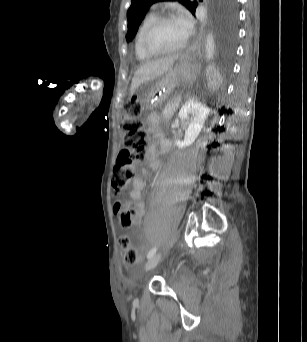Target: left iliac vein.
<instances>
[{"mask_svg": "<svg viewBox=\"0 0 307 342\" xmlns=\"http://www.w3.org/2000/svg\"><path fill=\"white\" fill-rule=\"evenodd\" d=\"M162 258V253L161 252H158L156 254H154L151 258H149V260L147 261L146 265H145V268L147 270H150L154 267H156V265L159 263V261L161 260Z\"/></svg>", "mask_w": 307, "mask_h": 342, "instance_id": "1", "label": "left iliac vein"}]
</instances>
